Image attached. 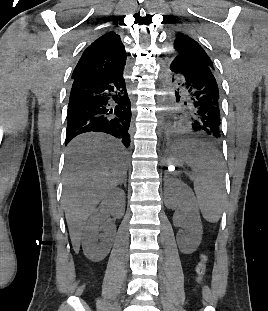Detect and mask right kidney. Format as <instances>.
Instances as JSON below:
<instances>
[{
	"instance_id": "1",
	"label": "right kidney",
	"mask_w": 268,
	"mask_h": 311,
	"mask_svg": "<svg viewBox=\"0 0 268 311\" xmlns=\"http://www.w3.org/2000/svg\"><path fill=\"white\" fill-rule=\"evenodd\" d=\"M125 212V193L115 188L101 202L100 206L91 214L84 233L82 234V247L85 256L95 262L103 260L111 249L116 233V226L112 223L103 225V221L112 215L121 218ZM103 230L104 234L99 232ZM98 239L101 241L98 242Z\"/></svg>"
}]
</instances>
